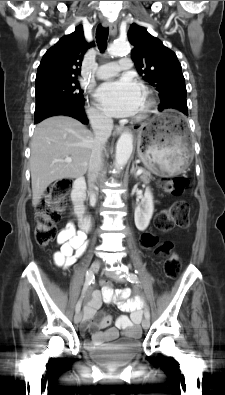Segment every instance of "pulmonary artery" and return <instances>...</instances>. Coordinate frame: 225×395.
<instances>
[{"mask_svg": "<svg viewBox=\"0 0 225 395\" xmlns=\"http://www.w3.org/2000/svg\"><path fill=\"white\" fill-rule=\"evenodd\" d=\"M131 67V59L123 57L118 62H109L99 66L96 71V76L100 79H106L118 74L122 70H128Z\"/></svg>", "mask_w": 225, "mask_h": 395, "instance_id": "pulmonary-artery-1", "label": "pulmonary artery"}]
</instances>
